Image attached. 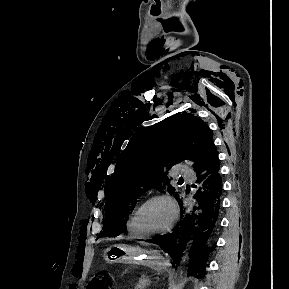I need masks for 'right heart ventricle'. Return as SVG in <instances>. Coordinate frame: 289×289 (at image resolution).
I'll use <instances>...</instances> for the list:
<instances>
[{
	"label": "right heart ventricle",
	"instance_id": "obj_1",
	"mask_svg": "<svg viewBox=\"0 0 289 289\" xmlns=\"http://www.w3.org/2000/svg\"><path fill=\"white\" fill-rule=\"evenodd\" d=\"M133 214H134V212L129 216V218L127 220V223H126L127 231L134 238H143V236L134 227Z\"/></svg>",
	"mask_w": 289,
	"mask_h": 289
}]
</instances>
